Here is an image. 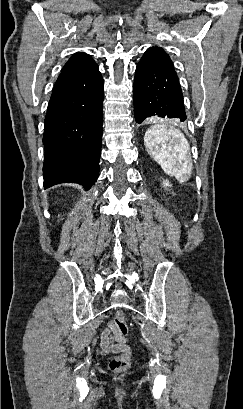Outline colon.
Returning a JSON list of instances; mask_svg holds the SVG:
<instances>
[{"instance_id":"1","label":"colon","mask_w":243,"mask_h":409,"mask_svg":"<svg viewBox=\"0 0 243 409\" xmlns=\"http://www.w3.org/2000/svg\"><path fill=\"white\" fill-rule=\"evenodd\" d=\"M113 323L115 336L125 345V350L110 361L109 367L113 371H124L131 364V349L128 344V326L123 311L119 310L116 313Z\"/></svg>"}]
</instances>
